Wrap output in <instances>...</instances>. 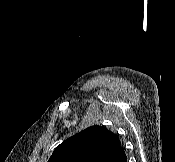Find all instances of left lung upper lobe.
I'll return each instance as SVG.
<instances>
[{
  "label": "left lung upper lobe",
  "mask_w": 175,
  "mask_h": 162,
  "mask_svg": "<svg viewBox=\"0 0 175 162\" xmlns=\"http://www.w3.org/2000/svg\"><path fill=\"white\" fill-rule=\"evenodd\" d=\"M119 145L113 132L94 125L58 145L48 162H105Z\"/></svg>",
  "instance_id": "1"
}]
</instances>
